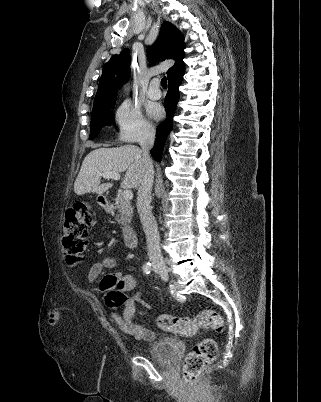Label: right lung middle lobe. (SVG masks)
Here are the masks:
<instances>
[{
    "label": "right lung middle lobe",
    "mask_w": 321,
    "mask_h": 402,
    "mask_svg": "<svg viewBox=\"0 0 321 402\" xmlns=\"http://www.w3.org/2000/svg\"><path fill=\"white\" fill-rule=\"evenodd\" d=\"M114 106L115 101L105 106L93 108L91 116L90 139L95 138L102 127L112 125L114 123L111 111Z\"/></svg>",
    "instance_id": "dd1d6c3e"
}]
</instances>
